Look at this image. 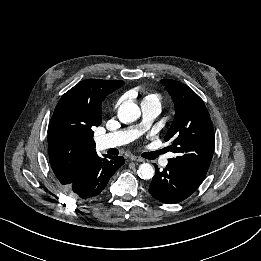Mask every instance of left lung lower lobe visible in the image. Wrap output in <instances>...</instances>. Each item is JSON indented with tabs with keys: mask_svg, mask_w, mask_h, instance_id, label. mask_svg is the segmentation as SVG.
<instances>
[{
	"mask_svg": "<svg viewBox=\"0 0 261 261\" xmlns=\"http://www.w3.org/2000/svg\"><path fill=\"white\" fill-rule=\"evenodd\" d=\"M197 188L173 166L168 164L163 171H159L155 165V175L149 185V192L162 203L174 204L191 196Z\"/></svg>",
	"mask_w": 261,
	"mask_h": 261,
	"instance_id": "0a47b994",
	"label": "left lung lower lobe"
}]
</instances>
